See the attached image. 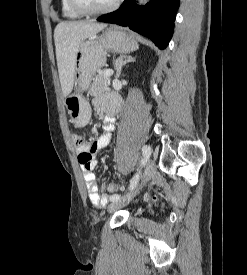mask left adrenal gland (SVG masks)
I'll use <instances>...</instances> for the list:
<instances>
[{
  "instance_id": "1",
  "label": "left adrenal gland",
  "mask_w": 247,
  "mask_h": 275,
  "mask_svg": "<svg viewBox=\"0 0 247 275\" xmlns=\"http://www.w3.org/2000/svg\"><path fill=\"white\" fill-rule=\"evenodd\" d=\"M135 58L131 56H121L114 61V68L116 70V78H119L121 75L122 67L129 63L134 62Z\"/></svg>"
}]
</instances>
